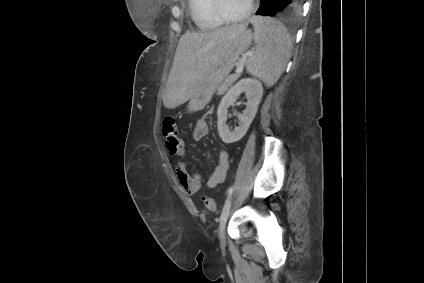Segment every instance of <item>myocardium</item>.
Instances as JSON below:
<instances>
[{"label":"myocardium","instance_id":"f54148a6","mask_svg":"<svg viewBox=\"0 0 424 283\" xmlns=\"http://www.w3.org/2000/svg\"><path fill=\"white\" fill-rule=\"evenodd\" d=\"M212 6L215 15L224 23H239L247 20L253 14L257 6V0H250L247 10L238 16H231L225 11L223 0H212Z\"/></svg>","mask_w":424,"mask_h":283}]
</instances>
